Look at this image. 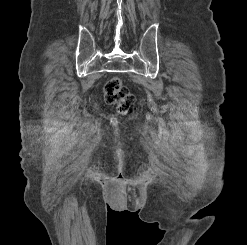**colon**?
<instances>
[{
    "label": "colon",
    "instance_id": "obj_1",
    "mask_svg": "<svg viewBox=\"0 0 247 245\" xmlns=\"http://www.w3.org/2000/svg\"><path fill=\"white\" fill-rule=\"evenodd\" d=\"M105 101L115 105L121 113L129 110L134 102V97L123 85L119 77H112L105 85Z\"/></svg>",
    "mask_w": 247,
    "mask_h": 245
}]
</instances>
